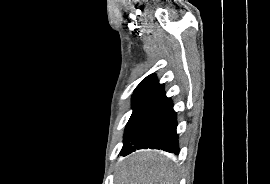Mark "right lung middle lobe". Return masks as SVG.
Returning <instances> with one entry per match:
<instances>
[{
  "instance_id": "right-lung-middle-lobe-1",
  "label": "right lung middle lobe",
  "mask_w": 270,
  "mask_h": 184,
  "mask_svg": "<svg viewBox=\"0 0 270 184\" xmlns=\"http://www.w3.org/2000/svg\"><path fill=\"white\" fill-rule=\"evenodd\" d=\"M149 100V98H133L132 99V107H133V113L127 123L126 126V130L124 133V141L127 138V135L134 123V121L137 119L138 115L140 114L141 110L143 109V107L145 106V104L147 103V101Z\"/></svg>"
}]
</instances>
